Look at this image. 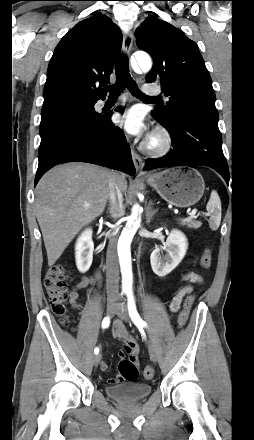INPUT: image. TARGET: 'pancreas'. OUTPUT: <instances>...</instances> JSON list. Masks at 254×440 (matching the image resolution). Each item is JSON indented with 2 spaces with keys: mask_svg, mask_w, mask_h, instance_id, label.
Masks as SVG:
<instances>
[{
  "mask_svg": "<svg viewBox=\"0 0 254 440\" xmlns=\"http://www.w3.org/2000/svg\"><path fill=\"white\" fill-rule=\"evenodd\" d=\"M181 225H183V226L186 225L188 228L197 229V228L201 227L202 223L200 221L189 220V221L182 222Z\"/></svg>",
  "mask_w": 254,
  "mask_h": 440,
  "instance_id": "cf45deb5",
  "label": "pancreas"
}]
</instances>
